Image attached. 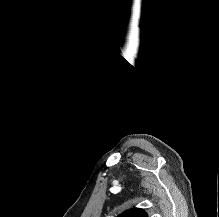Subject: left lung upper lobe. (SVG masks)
Listing matches in <instances>:
<instances>
[{"instance_id":"5c2ea615","label":"left lung upper lobe","mask_w":219,"mask_h":217,"mask_svg":"<svg viewBox=\"0 0 219 217\" xmlns=\"http://www.w3.org/2000/svg\"><path fill=\"white\" fill-rule=\"evenodd\" d=\"M118 217H147V214L140 208H132L123 212Z\"/></svg>"}]
</instances>
